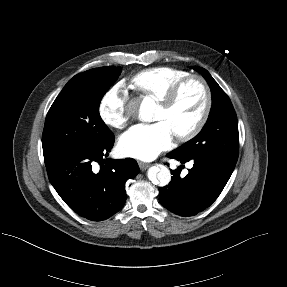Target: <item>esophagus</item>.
Masks as SVG:
<instances>
[{
    "mask_svg": "<svg viewBox=\"0 0 287 287\" xmlns=\"http://www.w3.org/2000/svg\"><path fill=\"white\" fill-rule=\"evenodd\" d=\"M138 165H139L141 170H145V169H147L150 166V164L144 163V162H141V161L138 162Z\"/></svg>",
    "mask_w": 287,
    "mask_h": 287,
    "instance_id": "34e87169",
    "label": "esophagus"
}]
</instances>
